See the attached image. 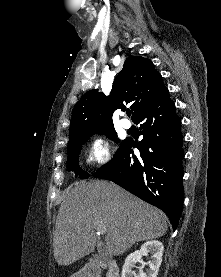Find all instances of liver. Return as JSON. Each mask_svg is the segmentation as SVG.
I'll list each match as a JSON object with an SVG mask.
<instances>
[{
	"label": "liver",
	"mask_w": 221,
	"mask_h": 277,
	"mask_svg": "<svg viewBox=\"0 0 221 277\" xmlns=\"http://www.w3.org/2000/svg\"><path fill=\"white\" fill-rule=\"evenodd\" d=\"M165 214L116 184L91 180L75 186L62 202L54 233V257L70 265L95 249L97 226L105 227L106 250L119 256L133 244L167 231Z\"/></svg>",
	"instance_id": "liver-1"
}]
</instances>
